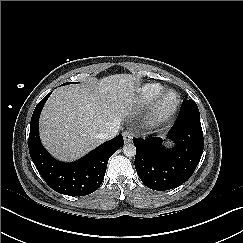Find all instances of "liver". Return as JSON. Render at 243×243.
Wrapping results in <instances>:
<instances>
[{
    "instance_id": "1",
    "label": "liver",
    "mask_w": 243,
    "mask_h": 243,
    "mask_svg": "<svg viewBox=\"0 0 243 243\" xmlns=\"http://www.w3.org/2000/svg\"><path fill=\"white\" fill-rule=\"evenodd\" d=\"M136 78L115 74L92 87L66 86L53 91L40 117L45 148L61 161H74L104 140L98 135L119 124L135 98Z\"/></svg>"
}]
</instances>
